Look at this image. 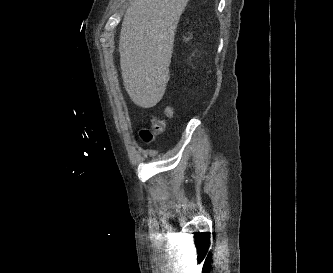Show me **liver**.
<instances>
[{
    "label": "liver",
    "instance_id": "obj_1",
    "mask_svg": "<svg viewBox=\"0 0 333 273\" xmlns=\"http://www.w3.org/2000/svg\"><path fill=\"white\" fill-rule=\"evenodd\" d=\"M189 0H132L119 39L125 89L139 107H154L170 79L169 65L180 16Z\"/></svg>",
    "mask_w": 333,
    "mask_h": 273
}]
</instances>
